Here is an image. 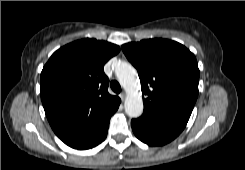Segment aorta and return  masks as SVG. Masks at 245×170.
<instances>
[{
  "mask_svg": "<svg viewBox=\"0 0 245 170\" xmlns=\"http://www.w3.org/2000/svg\"><path fill=\"white\" fill-rule=\"evenodd\" d=\"M115 74L127 94L124 104L126 114L132 118L141 116L144 106L135 68L127 62H119Z\"/></svg>",
  "mask_w": 245,
  "mask_h": 170,
  "instance_id": "aorta-1",
  "label": "aorta"
}]
</instances>
